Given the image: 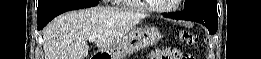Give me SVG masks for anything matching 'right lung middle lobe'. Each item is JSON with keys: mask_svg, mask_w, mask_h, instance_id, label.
Masks as SVG:
<instances>
[{"mask_svg": "<svg viewBox=\"0 0 261 59\" xmlns=\"http://www.w3.org/2000/svg\"><path fill=\"white\" fill-rule=\"evenodd\" d=\"M58 0H39L37 13L43 11L46 7L54 4Z\"/></svg>", "mask_w": 261, "mask_h": 59, "instance_id": "obj_1", "label": "right lung middle lobe"}]
</instances>
